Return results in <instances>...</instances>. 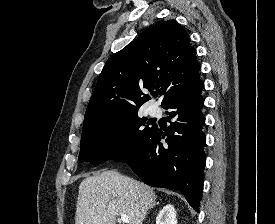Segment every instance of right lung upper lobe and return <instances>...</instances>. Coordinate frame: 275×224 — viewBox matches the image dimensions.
<instances>
[{
  "mask_svg": "<svg viewBox=\"0 0 275 224\" xmlns=\"http://www.w3.org/2000/svg\"><path fill=\"white\" fill-rule=\"evenodd\" d=\"M190 39L175 20L160 21L106 62L89 101L83 129L136 111L150 100L141 89L161 88L162 105L198 76ZM161 105V106H162Z\"/></svg>",
  "mask_w": 275,
  "mask_h": 224,
  "instance_id": "cb5924a9",
  "label": "right lung upper lobe"
}]
</instances>
